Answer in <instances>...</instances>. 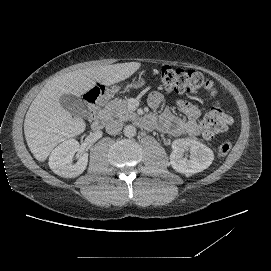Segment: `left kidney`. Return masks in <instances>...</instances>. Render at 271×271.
I'll return each instance as SVG.
<instances>
[{"label": "left kidney", "instance_id": "5707ae66", "mask_svg": "<svg viewBox=\"0 0 271 271\" xmlns=\"http://www.w3.org/2000/svg\"><path fill=\"white\" fill-rule=\"evenodd\" d=\"M170 163L172 167L186 176L198 173L208 168L214 155L205 144L193 139H176L171 144ZM190 151V158L184 157L186 151Z\"/></svg>", "mask_w": 271, "mask_h": 271}]
</instances>
